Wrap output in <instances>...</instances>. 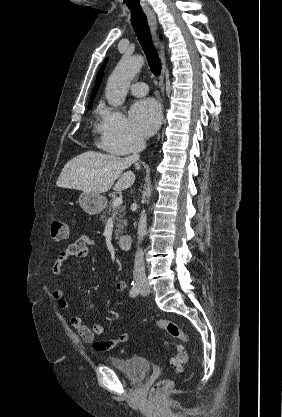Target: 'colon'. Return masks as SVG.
<instances>
[{
	"label": "colon",
	"mask_w": 282,
	"mask_h": 417,
	"mask_svg": "<svg viewBox=\"0 0 282 417\" xmlns=\"http://www.w3.org/2000/svg\"><path fill=\"white\" fill-rule=\"evenodd\" d=\"M50 235L55 240H66L70 236V229L68 223L65 220L55 219L51 223ZM156 328L167 332L170 336L180 339L186 344L189 343V336L174 322L159 319L155 322ZM195 353H192L194 355ZM186 352H184L183 347H178L177 355L175 356L173 362L178 372H183L187 366L185 363ZM169 379H158L155 389L149 390V397L151 403H164L165 395L164 393L169 392L170 386Z\"/></svg>",
	"instance_id": "obj_1"
}]
</instances>
